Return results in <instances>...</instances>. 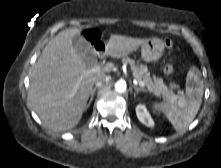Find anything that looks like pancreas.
<instances>
[{
  "label": "pancreas",
  "mask_w": 221,
  "mask_h": 168,
  "mask_svg": "<svg viewBox=\"0 0 221 168\" xmlns=\"http://www.w3.org/2000/svg\"><path fill=\"white\" fill-rule=\"evenodd\" d=\"M122 62L131 66L135 79L137 81H143L149 92L163 98L169 97L173 94L172 89L164 84L162 78H157L155 75L151 77L147 66L138 63L136 64L135 61L129 57H124Z\"/></svg>",
  "instance_id": "pancreas-1"
}]
</instances>
